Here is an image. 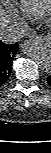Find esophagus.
Instances as JSON below:
<instances>
[{"mask_svg":"<svg viewBox=\"0 0 51 153\" xmlns=\"http://www.w3.org/2000/svg\"><path fill=\"white\" fill-rule=\"evenodd\" d=\"M35 39H38V36H35Z\"/></svg>","mask_w":51,"mask_h":153,"instance_id":"obj_1","label":"esophagus"}]
</instances>
